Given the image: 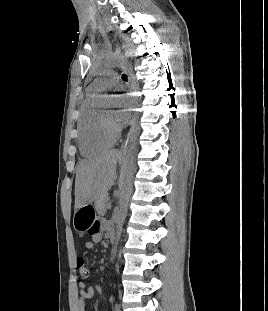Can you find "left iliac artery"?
<instances>
[{"label": "left iliac artery", "instance_id": "obj_1", "mask_svg": "<svg viewBox=\"0 0 268 311\" xmlns=\"http://www.w3.org/2000/svg\"><path fill=\"white\" fill-rule=\"evenodd\" d=\"M115 311H119V306L117 304L115 305Z\"/></svg>", "mask_w": 268, "mask_h": 311}]
</instances>
